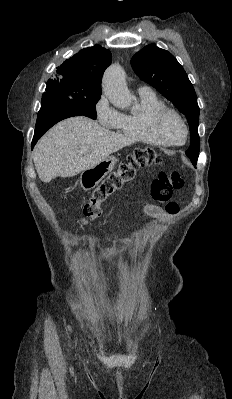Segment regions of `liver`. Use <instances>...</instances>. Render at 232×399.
<instances>
[{"label":"liver","instance_id":"1","mask_svg":"<svg viewBox=\"0 0 232 399\" xmlns=\"http://www.w3.org/2000/svg\"><path fill=\"white\" fill-rule=\"evenodd\" d=\"M133 140L101 128L89 118H68L51 128L34 150V164L41 182H51L56 176L71 178L100 164L110 154L118 152ZM81 146H88L85 156Z\"/></svg>","mask_w":232,"mask_h":399}]
</instances>
